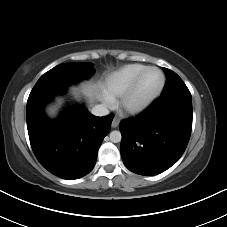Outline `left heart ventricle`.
<instances>
[{"label": "left heart ventricle", "instance_id": "obj_1", "mask_svg": "<svg viewBox=\"0 0 227 227\" xmlns=\"http://www.w3.org/2000/svg\"><path fill=\"white\" fill-rule=\"evenodd\" d=\"M161 83V74L157 70L148 71L142 78L136 92V100H141L154 93Z\"/></svg>", "mask_w": 227, "mask_h": 227}]
</instances>
